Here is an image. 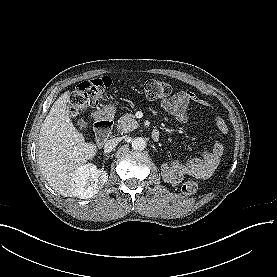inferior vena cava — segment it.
<instances>
[{"label": "inferior vena cava", "instance_id": "602c4592", "mask_svg": "<svg viewBox=\"0 0 277 277\" xmlns=\"http://www.w3.org/2000/svg\"><path fill=\"white\" fill-rule=\"evenodd\" d=\"M119 142H120V139L118 137L107 140L104 144V150L106 152L112 151L119 144Z\"/></svg>", "mask_w": 277, "mask_h": 277}]
</instances>
